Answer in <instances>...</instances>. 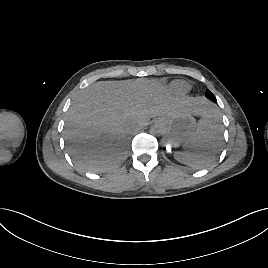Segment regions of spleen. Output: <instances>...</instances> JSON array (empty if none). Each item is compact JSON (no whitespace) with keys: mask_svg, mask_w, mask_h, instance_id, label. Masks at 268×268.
Returning a JSON list of instances; mask_svg holds the SVG:
<instances>
[{"mask_svg":"<svg viewBox=\"0 0 268 268\" xmlns=\"http://www.w3.org/2000/svg\"><path fill=\"white\" fill-rule=\"evenodd\" d=\"M221 132L222 126L217 120V113L209 110L186 141L185 147L189 150L175 152V159L196 169L209 165L220 151L223 142Z\"/></svg>","mask_w":268,"mask_h":268,"instance_id":"3e777b00","label":"spleen"}]
</instances>
